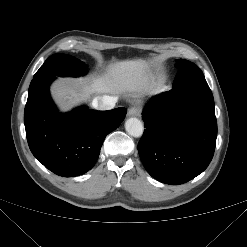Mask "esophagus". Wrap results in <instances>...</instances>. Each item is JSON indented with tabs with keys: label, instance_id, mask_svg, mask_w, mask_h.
I'll list each match as a JSON object with an SVG mask.
<instances>
[{
	"label": "esophagus",
	"instance_id": "obj_1",
	"mask_svg": "<svg viewBox=\"0 0 247 247\" xmlns=\"http://www.w3.org/2000/svg\"><path fill=\"white\" fill-rule=\"evenodd\" d=\"M139 109L136 108V107H131L128 109V112H127V115L130 117V116H137L139 115Z\"/></svg>",
	"mask_w": 247,
	"mask_h": 247
}]
</instances>
